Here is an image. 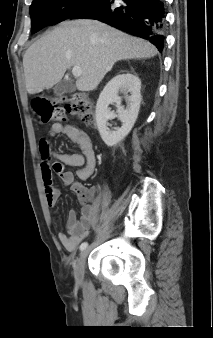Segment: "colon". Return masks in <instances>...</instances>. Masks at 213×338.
Here are the masks:
<instances>
[{"instance_id":"obj_1","label":"colon","mask_w":213,"mask_h":338,"mask_svg":"<svg viewBox=\"0 0 213 338\" xmlns=\"http://www.w3.org/2000/svg\"><path fill=\"white\" fill-rule=\"evenodd\" d=\"M32 113L42 124L51 121L61 122L65 113L77 116L84 124L94 122L92 102L84 93H72L62 97L36 95L31 101Z\"/></svg>"}]
</instances>
